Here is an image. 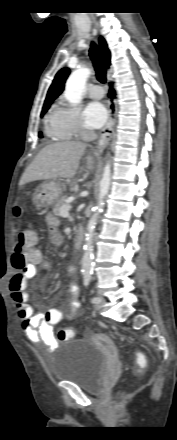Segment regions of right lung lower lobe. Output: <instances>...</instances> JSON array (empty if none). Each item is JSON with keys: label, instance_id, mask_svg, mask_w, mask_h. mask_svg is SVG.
I'll use <instances>...</instances> for the list:
<instances>
[{"label": "right lung lower lobe", "instance_id": "obj_1", "mask_svg": "<svg viewBox=\"0 0 177 440\" xmlns=\"http://www.w3.org/2000/svg\"><path fill=\"white\" fill-rule=\"evenodd\" d=\"M109 96L110 97H114L115 96V92H114V90L112 88L110 89Z\"/></svg>", "mask_w": 177, "mask_h": 440}]
</instances>
